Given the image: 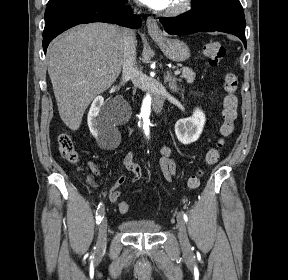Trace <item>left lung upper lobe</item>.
Masks as SVG:
<instances>
[{
  "instance_id": "1",
  "label": "left lung upper lobe",
  "mask_w": 288,
  "mask_h": 280,
  "mask_svg": "<svg viewBox=\"0 0 288 280\" xmlns=\"http://www.w3.org/2000/svg\"><path fill=\"white\" fill-rule=\"evenodd\" d=\"M191 7L223 14L245 24L244 11L239 0H194Z\"/></svg>"
}]
</instances>
